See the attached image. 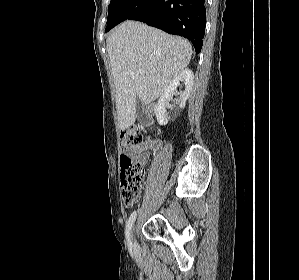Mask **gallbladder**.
I'll use <instances>...</instances> for the list:
<instances>
[{"label":"gallbladder","instance_id":"obj_1","mask_svg":"<svg viewBox=\"0 0 299 280\" xmlns=\"http://www.w3.org/2000/svg\"><path fill=\"white\" fill-rule=\"evenodd\" d=\"M136 114L138 120H143V102L139 98L136 101Z\"/></svg>","mask_w":299,"mask_h":280}]
</instances>
